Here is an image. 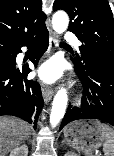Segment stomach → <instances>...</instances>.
<instances>
[{
    "label": "stomach",
    "instance_id": "0dacf381",
    "mask_svg": "<svg viewBox=\"0 0 114 156\" xmlns=\"http://www.w3.org/2000/svg\"><path fill=\"white\" fill-rule=\"evenodd\" d=\"M101 124L96 120H79L67 125L64 129L67 144L83 151L86 156H96L99 147L105 142Z\"/></svg>",
    "mask_w": 114,
    "mask_h": 156
}]
</instances>
